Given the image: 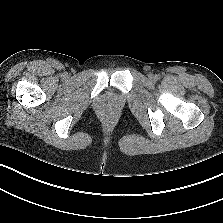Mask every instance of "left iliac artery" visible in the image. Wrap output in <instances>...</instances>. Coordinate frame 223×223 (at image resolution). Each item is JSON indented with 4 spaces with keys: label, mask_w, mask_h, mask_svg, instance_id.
Wrapping results in <instances>:
<instances>
[{
    "label": "left iliac artery",
    "mask_w": 223,
    "mask_h": 223,
    "mask_svg": "<svg viewBox=\"0 0 223 223\" xmlns=\"http://www.w3.org/2000/svg\"><path fill=\"white\" fill-rule=\"evenodd\" d=\"M155 78H156V79H160V75H156Z\"/></svg>",
    "instance_id": "44dca946"
}]
</instances>
